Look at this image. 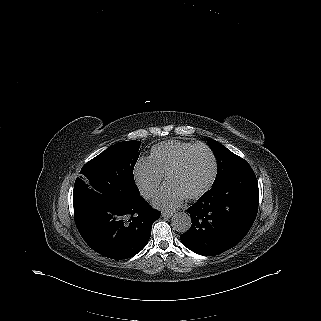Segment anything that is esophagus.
<instances>
[{
  "mask_svg": "<svg viewBox=\"0 0 321 321\" xmlns=\"http://www.w3.org/2000/svg\"><path fill=\"white\" fill-rule=\"evenodd\" d=\"M173 212H162V217L164 218H170L173 216Z\"/></svg>",
  "mask_w": 321,
  "mask_h": 321,
  "instance_id": "esophagus-1",
  "label": "esophagus"
}]
</instances>
